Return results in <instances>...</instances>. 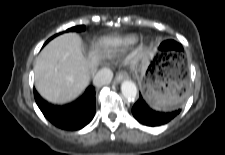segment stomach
I'll return each instance as SVG.
<instances>
[{
    "label": "stomach",
    "instance_id": "0dacf381",
    "mask_svg": "<svg viewBox=\"0 0 225 155\" xmlns=\"http://www.w3.org/2000/svg\"><path fill=\"white\" fill-rule=\"evenodd\" d=\"M152 53L143 63L139 79L147 101L157 107L172 106L186 97L188 81L179 68L165 65Z\"/></svg>",
    "mask_w": 225,
    "mask_h": 155
}]
</instances>
